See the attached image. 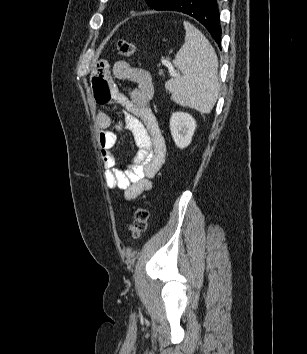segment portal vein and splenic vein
Segmentation results:
<instances>
[{
  "mask_svg": "<svg viewBox=\"0 0 307 354\" xmlns=\"http://www.w3.org/2000/svg\"><path fill=\"white\" fill-rule=\"evenodd\" d=\"M162 63L168 67L171 76H177L176 71H174V68L169 61L162 60Z\"/></svg>",
  "mask_w": 307,
  "mask_h": 354,
  "instance_id": "18ae733b",
  "label": "portal vein and splenic vein"
}]
</instances>
